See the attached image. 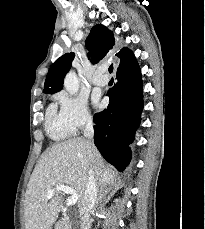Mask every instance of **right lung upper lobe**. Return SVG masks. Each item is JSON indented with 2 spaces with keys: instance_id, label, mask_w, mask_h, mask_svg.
<instances>
[{
  "instance_id": "1",
  "label": "right lung upper lobe",
  "mask_w": 205,
  "mask_h": 229,
  "mask_svg": "<svg viewBox=\"0 0 205 229\" xmlns=\"http://www.w3.org/2000/svg\"><path fill=\"white\" fill-rule=\"evenodd\" d=\"M86 47L89 50V57L92 58L91 62L97 63L115 48L112 31L101 24L95 25L86 39ZM116 56L120 58L118 68L127 66L135 60V56L128 48H123ZM73 59V52L66 53L52 64L45 80L44 93L53 94L63 88V79L69 71Z\"/></svg>"
}]
</instances>
